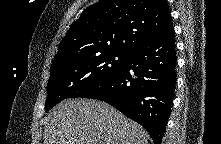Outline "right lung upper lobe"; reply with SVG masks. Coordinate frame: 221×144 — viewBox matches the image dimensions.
Listing matches in <instances>:
<instances>
[{"label": "right lung upper lobe", "instance_id": "cb5924a9", "mask_svg": "<svg viewBox=\"0 0 221 144\" xmlns=\"http://www.w3.org/2000/svg\"><path fill=\"white\" fill-rule=\"evenodd\" d=\"M171 27L165 0H102L71 25L51 69L105 52L129 54Z\"/></svg>", "mask_w": 221, "mask_h": 144}]
</instances>
